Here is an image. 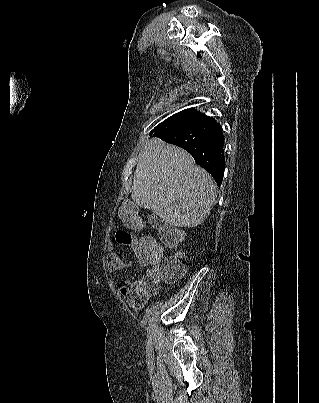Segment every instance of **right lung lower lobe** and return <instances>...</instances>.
Instances as JSON below:
<instances>
[{
	"label": "right lung lower lobe",
	"mask_w": 319,
	"mask_h": 403,
	"mask_svg": "<svg viewBox=\"0 0 319 403\" xmlns=\"http://www.w3.org/2000/svg\"><path fill=\"white\" fill-rule=\"evenodd\" d=\"M153 137L188 151L195 162L213 176L217 185H221L225 169L224 136L214 118L207 116L186 126L165 128Z\"/></svg>",
	"instance_id": "98d812e1"
}]
</instances>
